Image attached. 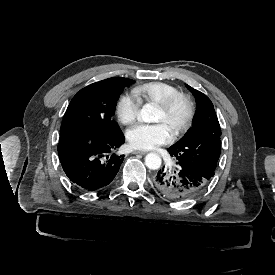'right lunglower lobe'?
<instances>
[{"mask_svg":"<svg viewBox=\"0 0 275 275\" xmlns=\"http://www.w3.org/2000/svg\"><path fill=\"white\" fill-rule=\"evenodd\" d=\"M124 141L121 131L109 137L81 130L63 132L57 148L62 168L80 190L103 188L115 178L124 158L109 153Z\"/></svg>","mask_w":275,"mask_h":275,"instance_id":"98d812e1","label":"right lung lower lobe"}]
</instances>
